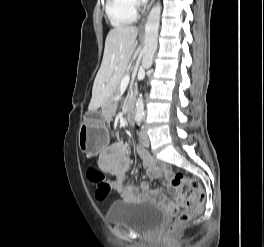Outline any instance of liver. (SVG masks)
<instances>
[{
  "instance_id": "6515ba94",
  "label": "liver",
  "mask_w": 264,
  "mask_h": 247,
  "mask_svg": "<svg viewBox=\"0 0 264 247\" xmlns=\"http://www.w3.org/2000/svg\"><path fill=\"white\" fill-rule=\"evenodd\" d=\"M137 34L135 26L116 27L109 31L101 67L93 84L89 111L103 106L123 78L137 46Z\"/></svg>"
}]
</instances>
